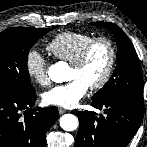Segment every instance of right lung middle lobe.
<instances>
[{"label": "right lung middle lobe", "mask_w": 147, "mask_h": 147, "mask_svg": "<svg viewBox=\"0 0 147 147\" xmlns=\"http://www.w3.org/2000/svg\"><path fill=\"white\" fill-rule=\"evenodd\" d=\"M50 29L12 27L0 33V94L19 95L33 91L27 58L34 43Z\"/></svg>", "instance_id": "1"}]
</instances>
